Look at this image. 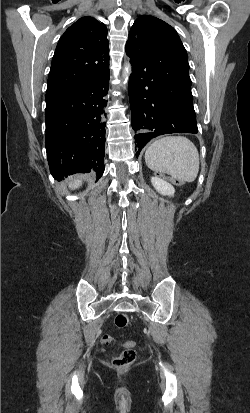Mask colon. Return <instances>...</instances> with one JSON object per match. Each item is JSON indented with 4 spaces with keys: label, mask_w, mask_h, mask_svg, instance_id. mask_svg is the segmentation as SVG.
Here are the masks:
<instances>
[{
    "label": "colon",
    "mask_w": 250,
    "mask_h": 413,
    "mask_svg": "<svg viewBox=\"0 0 250 413\" xmlns=\"http://www.w3.org/2000/svg\"><path fill=\"white\" fill-rule=\"evenodd\" d=\"M154 174L158 180L163 183H170L172 187H182L184 180L182 178H175L173 174H167L165 171L155 170ZM115 326L117 328H124L129 325L130 318L126 314H118L115 317ZM113 339L109 335L102 337V343H112ZM123 352L112 360V366L118 370L126 369L136 358V343L134 341H126L123 343Z\"/></svg>",
    "instance_id": "obj_1"
}]
</instances>
